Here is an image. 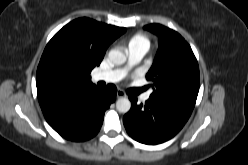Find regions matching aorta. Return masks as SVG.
<instances>
[{"label":"aorta","instance_id":"1","mask_svg":"<svg viewBox=\"0 0 248 165\" xmlns=\"http://www.w3.org/2000/svg\"><path fill=\"white\" fill-rule=\"evenodd\" d=\"M109 60L115 65H122L126 62V55L118 50L112 49L108 53ZM131 108V102L128 98H119L116 102V109L121 113H127Z\"/></svg>","mask_w":248,"mask_h":165}]
</instances>
